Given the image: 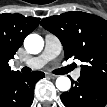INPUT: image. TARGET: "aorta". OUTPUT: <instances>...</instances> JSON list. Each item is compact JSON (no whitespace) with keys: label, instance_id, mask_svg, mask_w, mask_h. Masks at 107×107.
Wrapping results in <instances>:
<instances>
[{"label":"aorta","instance_id":"aorta-1","mask_svg":"<svg viewBox=\"0 0 107 107\" xmlns=\"http://www.w3.org/2000/svg\"><path fill=\"white\" fill-rule=\"evenodd\" d=\"M24 47L30 54H38L44 47V40L38 34H29L24 40ZM56 87L62 92H66L71 88V81L66 76H60L56 79Z\"/></svg>","mask_w":107,"mask_h":107}]
</instances>
